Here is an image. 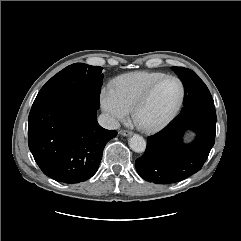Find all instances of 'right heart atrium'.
I'll use <instances>...</instances> for the list:
<instances>
[{"mask_svg":"<svg viewBox=\"0 0 241 241\" xmlns=\"http://www.w3.org/2000/svg\"><path fill=\"white\" fill-rule=\"evenodd\" d=\"M100 105L112 125H117L129 113V110L119 101L110 88H103L101 90Z\"/></svg>","mask_w":241,"mask_h":241,"instance_id":"1","label":"right heart atrium"}]
</instances>
